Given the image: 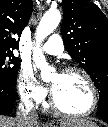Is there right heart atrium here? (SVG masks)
<instances>
[{"mask_svg":"<svg viewBox=\"0 0 108 127\" xmlns=\"http://www.w3.org/2000/svg\"><path fill=\"white\" fill-rule=\"evenodd\" d=\"M17 88L20 97L33 104H39L46 98L45 88L35 78L29 67H21L17 77Z\"/></svg>","mask_w":108,"mask_h":127,"instance_id":"right-heart-atrium-1","label":"right heart atrium"}]
</instances>
